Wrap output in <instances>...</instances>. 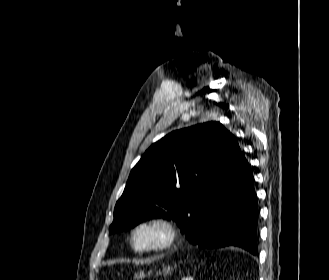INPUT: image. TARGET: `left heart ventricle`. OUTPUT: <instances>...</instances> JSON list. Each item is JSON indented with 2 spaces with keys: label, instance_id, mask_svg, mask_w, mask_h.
<instances>
[{
  "label": "left heart ventricle",
  "instance_id": "b2bd125f",
  "mask_svg": "<svg viewBox=\"0 0 329 280\" xmlns=\"http://www.w3.org/2000/svg\"><path fill=\"white\" fill-rule=\"evenodd\" d=\"M163 238V233L158 227H145L135 235V244L138 247H147L159 243Z\"/></svg>",
  "mask_w": 329,
  "mask_h": 280
}]
</instances>
